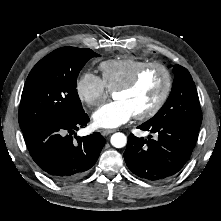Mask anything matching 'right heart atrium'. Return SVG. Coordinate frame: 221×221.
I'll use <instances>...</instances> for the list:
<instances>
[{
    "instance_id": "1",
    "label": "right heart atrium",
    "mask_w": 221,
    "mask_h": 221,
    "mask_svg": "<svg viewBox=\"0 0 221 221\" xmlns=\"http://www.w3.org/2000/svg\"><path fill=\"white\" fill-rule=\"evenodd\" d=\"M75 91L78 98L89 107L98 106L107 95L102 79L89 71L79 75L75 82Z\"/></svg>"
}]
</instances>
